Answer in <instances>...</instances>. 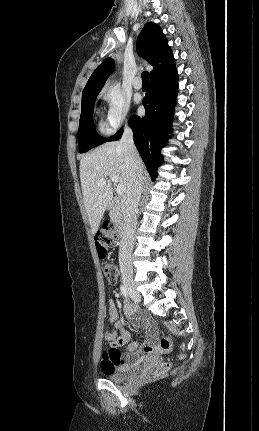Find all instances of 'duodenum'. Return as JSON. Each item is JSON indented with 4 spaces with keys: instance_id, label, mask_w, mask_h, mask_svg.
Here are the masks:
<instances>
[{
    "instance_id": "obj_1",
    "label": "duodenum",
    "mask_w": 259,
    "mask_h": 431,
    "mask_svg": "<svg viewBox=\"0 0 259 431\" xmlns=\"http://www.w3.org/2000/svg\"><path fill=\"white\" fill-rule=\"evenodd\" d=\"M108 210L120 215L121 211H122V203L120 200L118 199H113L110 201L109 205H108ZM125 231H126V222L124 217H120L119 219V230H118V234H117V243L121 244L123 241V238L125 236Z\"/></svg>"
}]
</instances>
